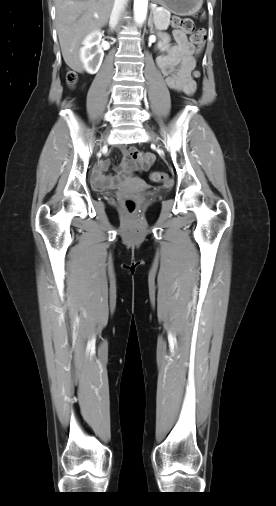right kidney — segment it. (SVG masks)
I'll list each match as a JSON object with an SVG mask.
<instances>
[{"instance_id":"1","label":"right kidney","mask_w":276,"mask_h":506,"mask_svg":"<svg viewBox=\"0 0 276 506\" xmlns=\"http://www.w3.org/2000/svg\"><path fill=\"white\" fill-rule=\"evenodd\" d=\"M101 37L102 33L99 30L91 32L85 37L80 50V59L89 74L97 73L103 61L104 52L100 46Z\"/></svg>"}]
</instances>
